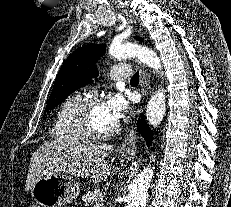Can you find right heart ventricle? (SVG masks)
Returning a JSON list of instances; mask_svg holds the SVG:
<instances>
[{"label":"right heart ventricle","mask_w":231,"mask_h":207,"mask_svg":"<svg viewBox=\"0 0 231 207\" xmlns=\"http://www.w3.org/2000/svg\"><path fill=\"white\" fill-rule=\"evenodd\" d=\"M82 96L78 93L68 96L56 112L52 133L56 140L63 142H79L84 137L79 133L73 121V111Z\"/></svg>","instance_id":"e07e8e85"}]
</instances>
